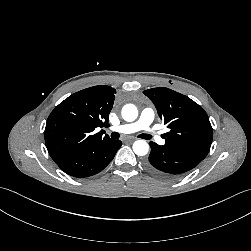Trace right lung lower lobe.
<instances>
[{
  "mask_svg": "<svg viewBox=\"0 0 251 251\" xmlns=\"http://www.w3.org/2000/svg\"><path fill=\"white\" fill-rule=\"evenodd\" d=\"M121 145L120 140L112 139L91 144L57 165L73 177H89L102 171L112 161Z\"/></svg>",
  "mask_w": 251,
  "mask_h": 251,
  "instance_id": "obj_1",
  "label": "right lung lower lobe"
}]
</instances>
